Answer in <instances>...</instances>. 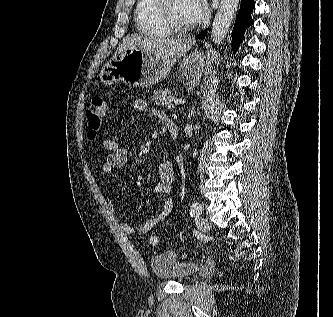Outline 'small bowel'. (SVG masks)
Returning a JSON list of instances; mask_svg holds the SVG:
<instances>
[{
  "instance_id": "c3829d8e",
  "label": "small bowel",
  "mask_w": 333,
  "mask_h": 317,
  "mask_svg": "<svg viewBox=\"0 0 333 317\" xmlns=\"http://www.w3.org/2000/svg\"><path fill=\"white\" fill-rule=\"evenodd\" d=\"M133 108L141 113L149 112L150 114L161 119L165 124L169 118L164 114L150 110L146 101L143 99H135L132 103ZM103 148L108 152L105 161L102 165L101 172L104 176H109L116 170L123 168L129 158V150L121 144L117 139L105 138L102 140ZM158 177L159 181L153 188L154 194L164 195V202L160 212L143 222L137 229H135L131 224L120 221L119 225L121 230L126 234H133L137 232L140 235H144L151 231L157 224L165 220L174 208V202L169 196L172 192L173 183L175 180V170L172 162L164 161L158 167ZM109 207L113 212H115L114 204L111 199L107 196Z\"/></svg>"
}]
</instances>
